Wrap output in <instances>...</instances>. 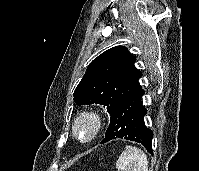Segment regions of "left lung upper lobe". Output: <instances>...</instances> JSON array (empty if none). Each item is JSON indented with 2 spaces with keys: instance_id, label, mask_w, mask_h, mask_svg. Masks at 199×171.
I'll use <instances>...</instances> for the list:
<instances>
[{
  "instance_id": "obj_1",
  "label": "left lung upper lobe",
  "mask_w": 199,
  "mask_h": 171,
  "mask_svg": "<svg viewBox=\"0 0 199 171\" xmlns=\"http://www.w3.org/2000/svg\"><path fill=\"white\" fill-rule=\"evenodd\" d=\"M136 58L126 47L115 46L95 58L74 91V101L102 104L110 115L140 84L142 73L136 69Z\"/></svg>"
}]
</instances>
